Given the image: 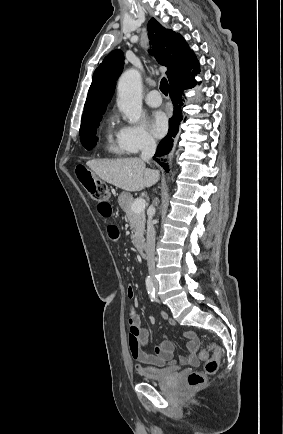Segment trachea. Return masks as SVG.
<instances>
[{"label":"trachea","instance_id":"obj_1","mask_svg":"<svg viewBox=\"0 0 283 434\" xmlns=\"http://www.w3.org/2000/svg\"><path fill=\"white\" fill-rule=\"evenodd\" d=\"M160 90L161 92L167 96L168 95V91H169V86H168V81L165 77L162 78L161 83H160Z\"/></svg>","mask_w":283,"mask_h":434}]
</instances>
